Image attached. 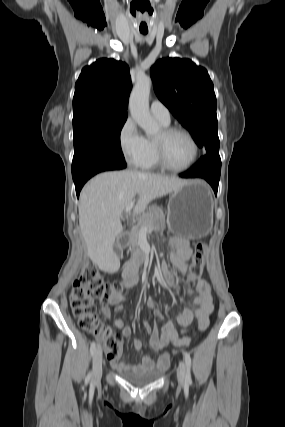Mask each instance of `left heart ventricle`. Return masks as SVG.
I'll return each instance as SVG.
<instances>
[{"label":"left heart ventricle","mask_w":285,"mask_h":427,"mask_svg":"<svg viewBox=\"0 0 285 427\" xmlns=\"http://www.w3.org/2000/svg\"><path fill=\"white\" fill-rule=\"evenodd\" d=\"M161 133L156 137L160 138ZM166 159L174 167H183L193 156V145L183 134L172 135L165 144Z\"/></svg>","instance_id":"b2bd125f"}]
</instances>
